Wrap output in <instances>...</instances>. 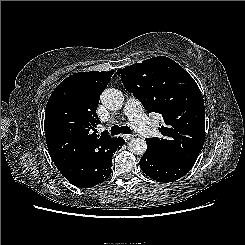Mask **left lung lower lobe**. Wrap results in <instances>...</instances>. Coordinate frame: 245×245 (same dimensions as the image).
Instances as JSON below:
<instances>
[{"label": "left lung lower lobe", "instance_id": "1", "mask_svg": "<svg viewBox=\"0 0 245 245\" xmlns=\"http://www.w3.org/2000/svg\"><path fill=\"white\" fill-rule=\"evenodd\" d=\"M195 162L163 158L146 150L140 159L141 170L159 182H172L186 175Z\"/></svg>", "mask_w": 245, "mask_h": 245}]
</instances>
